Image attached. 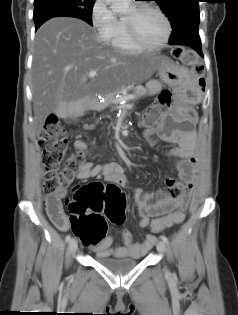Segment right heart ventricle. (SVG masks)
I'll list each match as a JSON object with an SVG mask.
<instances>
[{
	"label": "right heart ventricle",
	"instance_id": "right-heart-ventricle-1",
	"mask_svg": "<svg viewBox=\"0 0 238 315\" xmlns=\"http://www.w3.org/2000/svg\"><path fill=\"white\" fill-rule=\"evenodd\" d=\"M106 43L120 53L132 54L141 52V49L136 47L129 39L124 16L117 19V24Z\"/></svg>",
	"mask_w": 238,
	"mask_h": 315
}]
</instances>
